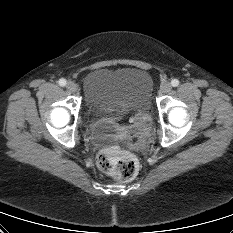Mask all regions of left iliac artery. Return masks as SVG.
Wrapping results in <instances>:
<instances>
[{"instance_id":"left-iliac-artery-1","label":"left iliac artery","mask_w":233,"mask_h":233,"mask_svg":"<svg viewBox=\"0 0 233 233\" xmlns=\"http://www.w3.org/2000/svg\"><path fill=\"white\" fill-rule=\"evenodd\" d=\"M171 85H172L173 87H177V86L179 85V80L173 79V80L171 81Z\"/></svg>"}]
</instances>
